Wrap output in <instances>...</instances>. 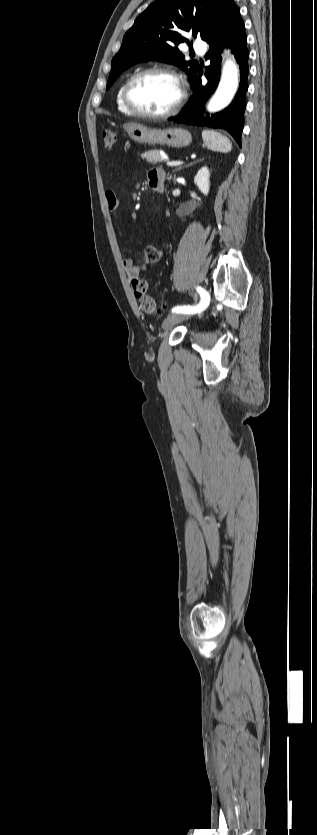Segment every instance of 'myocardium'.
I'll use <instances>...</instances> for the list:
<instances>
[{"label": "myocardium", "mask_w": 317, "mask_h": 835, "mask_svg": "<svg viewBox=\"0 0 317 835\" xmlns=\"http://www.w3.org/2000/svg\"><path fill=\"white\" fill-rule=\"evenodd\" d=\"M152 74H161V75L169 76L177 83V85L179 87V97H178V100L176 101V103L170 109H168L164 112H161V113H149V112L141 110L140 108H138L135 105V103L133 102L132 97H131V92H132L133 86L140 79H142L143 77H146V76L152 75ZM122 95H123V101H124L126 107L129 109V111L133 115H136L138 117L145 118V119H153L154 120V119L168 118L170 116L175 115L181 109V107H182V105L185 101L186 91L184 89V86H183V83H182V80H181L180 76L174 70H172L170 68H166V67L155 66V67H150V68L143 69L139 72H136L132 76H130V78L127 80V82L124 86Z\"/></svg>", "instance_id": "f54148a6"}]
</instances>
